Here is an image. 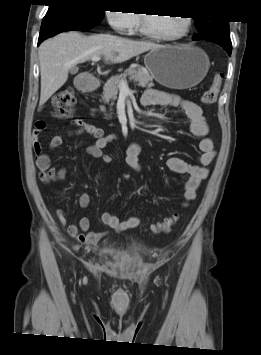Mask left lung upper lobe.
Listing matches in <instances>:
<instances>
[{"label": "left lung upper lobe", "instance_id": "left-lung-upper-lobe-1", "mask_svg": "<svg viewBox=\"0 0 261 355\" xmlns=\"http://www.w3.org/2000/svg\"><path fill=\"white\" fill-rule=\"evenodd\" d=\"M194 21L199 32L194 40L204 39L231 46L228 21L202 18H194Z\"/></svg>", "mask_w": 261, "mask_h": 355}]
</instances>
